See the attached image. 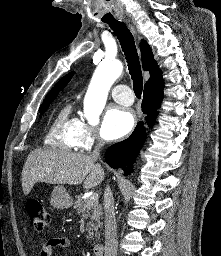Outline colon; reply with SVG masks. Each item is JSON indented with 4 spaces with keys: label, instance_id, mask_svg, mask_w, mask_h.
Returning <instances> with one entry per match:
<instances>
[{
    "label": "colon",
    "instance_id": "1",
    "mask_svg": "<svg viewBox=\"0 0 221 256\" xmlns=\"http://www.w3.org/2000/svg\"><path fill=\"white\" fill-rule=\"evenodd\" d=\"M26 211L32 227L37 231L44 230L50 222V214L41 201L30 199L26 203Z\"/></svg>",
    "mask_w": 221,
    "mask_h": 256
}]
</instances>
